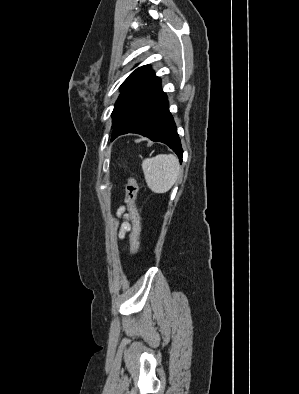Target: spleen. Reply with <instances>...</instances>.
<instances>
[{"label": "spleen", "instance_id": "1", "mask_svg": "<svg viewBox=\"0 0 299 394\" xmlns=\"http://www.w3.org/2000/svg\"><path fill=\"white\" fill-rule=\"evenodd\" d=\"M145 181L149 189L157 194L168 192L176 182L180 165L175 156L159 154L142 162Z\"/></svg>", "mask_w": 299, "mask_h": 394}]
</instances>
